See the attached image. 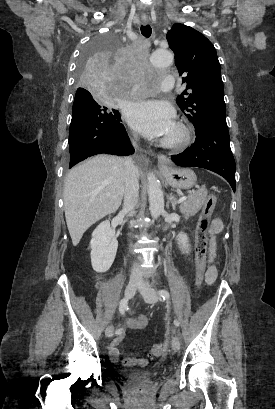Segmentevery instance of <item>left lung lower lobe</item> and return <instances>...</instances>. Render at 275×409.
Instances as JSON below:
<instances>
[{
  "instance_id": "obj_1",
  "label": "left lung lower lobe",
  "mask_w": 275,
  "mask_h": 409,
  "mask_svg": "<svg viewBox=\"0 0 275 409\" xmlns=\"http://www.w3.org/2000/svg\"><path fill=\"white\" fill-rule=\"evenodd\" d=\"M194 144L172 156L180 166L200 167L223 176L235 191V160L229 144L227 124L211 123L196 132Z\"/></svg>"
}]
</instances>
